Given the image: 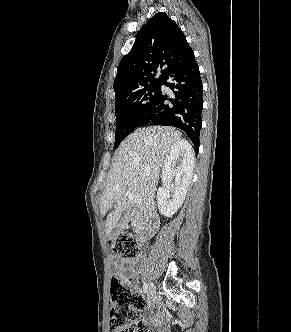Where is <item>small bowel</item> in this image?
Here are the masks:
<instances>
[{
    "instance_id": "c3829d8e",
    "label": "small bowel",
    "mask_w": 291,
    "mask_h": 332,
    "mask_svg": "<svg viewBox=\"0 0 291 332\" xmlns=\"http://www.w3.org/2000/svg\"><path fill=\"white\" fill-rule=\"evenodd\" d=\"M114 266L116 268H119L125 272H127L130 276L131 279H135V268L133 265L127 264L126 262L123 261H114ZM153 322L156 324L161 323V313H157L153 318Z\"/></svg>"
}]
</instances>
